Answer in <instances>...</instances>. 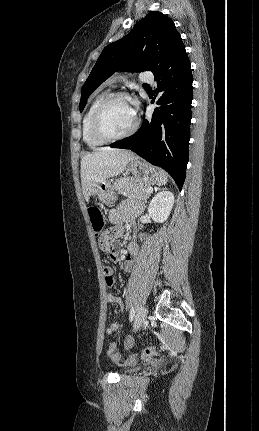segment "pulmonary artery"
<instances>
[{
  "label": "pulmonary artery",
  "instance_id": "1",
  "mask_svg": "<svg viewBox=\"0 0 259 431\" xmlns=\"http://www.w3.org/2000/svg\"><path fill=\"white\" fill-rule=\"evenodd\" d=\"M141 81L143 82H153V76L149 73H144L141 76Z\"/></svg>",
  "mask_w": 259,
  "mask_h": 431
}]
</instances>
